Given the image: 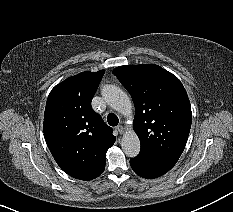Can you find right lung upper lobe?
Here are the masks:
<instances>
[{
    "instance_id": "right-lung-upper-lobe-1",
    "label": "right lung upper lobe",
    "mask_w": 233,
    "mask_h": 212,
    "mask_svg": "<svg viewBox=\"0 0 233 212\" xmlns=\"http://www.w3.org/2000/svg\"><path fill=\"white\" fill-rule=\"evenodd\" d=\"M104 70L69 77L50 92L44 114V137L57 164L68 175L91 180L105 168V155L116 137L91 108Z\"/></svg>"
}]
</instances>
